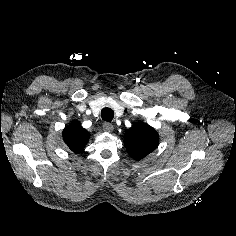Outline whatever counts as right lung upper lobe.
<instances>
[{"label": "right lung upper lobe", "instance_id": "obj_1", "mask_svg": "<svg viewBox=\"0 0 236 236\" xmlns=\"http://www.w3.org/2000/svg\"><path fill=\"white\" fill-rule=\"evenodd\" d=\"M90 134L82 128L76 120L72 121L63 131V140L74 153L83 149L88 141Z\"/></svg>", "mask_w": 236, "mask_h": 236}]
</instances>
